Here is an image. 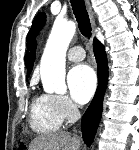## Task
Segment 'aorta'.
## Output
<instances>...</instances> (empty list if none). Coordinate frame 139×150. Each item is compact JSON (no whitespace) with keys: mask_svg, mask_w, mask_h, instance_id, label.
<instances>
[{"mask_svg":"<svg viewBox=\"0 0 139 150\" xmlns=\"http://www.w3.org/2000/svg\"><path fill=\"white\" fill-rule=\"evenodd\" d=\"M76 31L73 21L56 20L41 59L40 74L44 90L65 94L66 51Z\"/></svg>","mask_w":139,"mask_h":150,"instance_id":"1","label":"aorta"}]
</instances>
